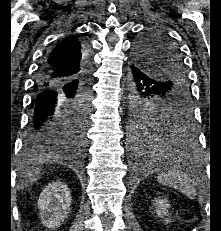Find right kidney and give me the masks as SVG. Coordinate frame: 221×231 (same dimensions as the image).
Returning a JSON list of instances; mask_svg holds the SVG:
<instances>
[{"label":"right kidney","instance_id":"1","mask_svg":"<svg viewBox=\"0 0 221 231\" xmlns=\"http://www.w3.org/2000/svg\"><path fill=\"white\" fill-rule=\"evenodd\" d=\"M71 194L67 184L58 181L46 186L38 199V208L43 225L58 227L70 211Z\"/></svg>","mask_w":221,"mask_h":231}]
</instances>
